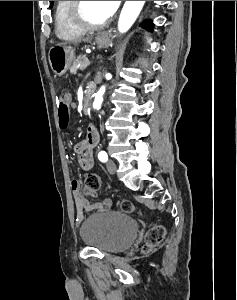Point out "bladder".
<instances>
[{"mask_svg":"<svg viewBox=\"0 0 237 300\" xmlns=\"http://www.w3.org/2000/svg\"><path fill=\"white\" fill-rule=\"evenodd\" d=\"M137 233V222L116 211L92 214L83 221L79 229L83 244L104 253H117L128 248Z\"/></svg>","mask_w":237,"mask_h":300,"instance_id":"bladder-1","label":"bladder"}]
</instances>
